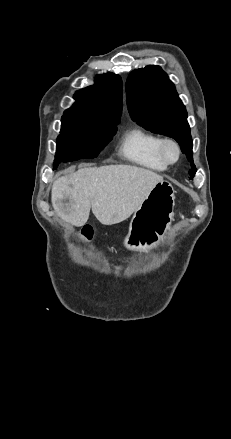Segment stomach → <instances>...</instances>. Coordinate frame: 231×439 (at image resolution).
Listing matches in <instances>:
<instances>
[{"instance_id": "obj_1", "label": "stomach", "mask_w": 231, "mask_h": 439, "mask_svg": "<svg viewBox=\"0 0 231 439\" xmlns=\"http://www.w3.org/2000/svg\"><path fill=\"white\" fill-rule=\"evenodd\" d=\"M175 192L165 180L154 186L134 212L124 241L127 249L147 252L163 240L173 221Z\"/></svg>"}]
</instances>
